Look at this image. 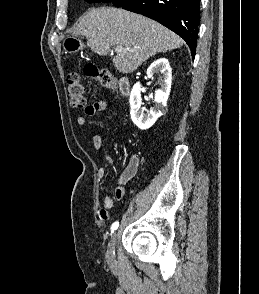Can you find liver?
I'll return each mask as SVG.
<instances>
[{
	"label": "liver",
	"instance_id": "liver-1",
	"mask_svg": "<svg viewBox=\"0 0 259 294\" xmlns=\"http://www.w3.org/2000/svg\"><path fill=\"white\" fill-rule=\"evenodd\" d=\"M72 32L85 36L87 46L98 55H107L114 45L122 46L124 50L113 58V65L123 74L134 72L157 53L183 45L178 35L156 21L117 8L86 12Z\"/></svg>",
	"mask_w": 259,
	"mask_h": 294
}]
</instances>
